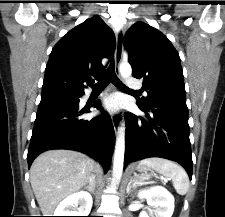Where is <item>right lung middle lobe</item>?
<instances>
[{"label": "right lung middle lobe", "instance_id": "obj_1", "mask_svg": "<svg viewBox=\"0 0 225 217\" xmlns=\"http://www.w3.org/2000/svg\"><path fill=\"white\" fill-rule=\"evenodd\" d=\"M81 94H51V95H45L41 97V101H49V100H72L76 101L79 99Z\"/></svg>", "mask_w": 225, "mask_h": 217}]
</instances>
